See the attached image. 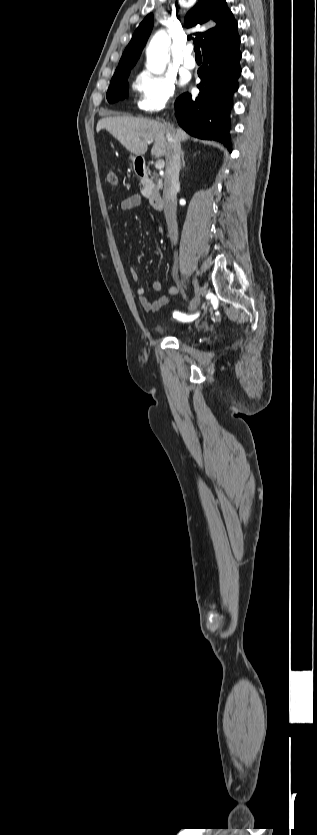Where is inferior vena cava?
Segmentation results:
<instances>
[{"mask_svg": "<svg viewBox=\"0 0 317 835\" xmlns=\"http://www.w3.org/2000/svg\"><path fill=\"white\" fill-rule=\"evenodd\" d=\"M168 148L165 155L166 169L163 189L164 215L168 226L169 237L174 244L178 238L177 226V190L179 188V172L181 168V144L175 130L168 126Z\"/></svg>", "mask_w": 317, "mask_h": 835, "instance_id": "inferior-vena-cava-1", "label": "inferior vena cava"}]
</instances>
